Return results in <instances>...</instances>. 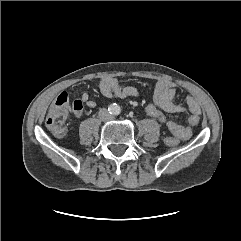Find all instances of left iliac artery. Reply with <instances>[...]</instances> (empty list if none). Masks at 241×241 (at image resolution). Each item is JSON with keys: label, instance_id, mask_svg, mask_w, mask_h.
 <instances>
[{"label": "left iliac artery", "instance_id": "1", "mask_svg": "<svg viewBox=\"0 0 241 241\" xmlns=\"http://www.w3.org/2000/svg\"><path fill=\"white\" fill-rule=\"evenodd\" d=\"M120 112H121V109H120V107H118V106H117V107H116L115 114H117V115H118V114H120Z\"/></svg>", "mask_w": 241, "mask_h": 241}]
</instances>
